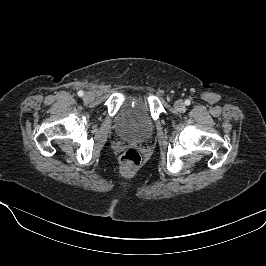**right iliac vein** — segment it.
<instances>
[{
    "instance_id": "right-iliac-vein-1",
    "label": "right iliac vein",
    "mask_w": 266,
    "mask_h": 266,
    "mask_svg": "<svg viewBox=\"0 0 266 266\" xmlns=\"http://www.w3.org/2000/svg\"><path fill=\"white\" fill-rule=\"evenodd\" d=\"M84 99H85L86 101H92V100H93V94L90 93V92L86 93V94L84 95Z\"/></svg>"
}]
</instances>
